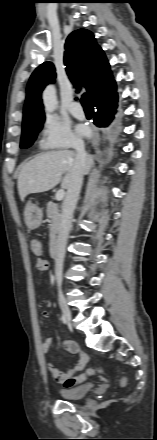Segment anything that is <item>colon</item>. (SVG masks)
<instances>
[{
	"label": "colon",
	"instance_id": "colon-1",
	"mask_svg": "<svg viewBox=\"0 0 157 440\" xmlns=\"http://www.w3.org/2000/svg\"><path fill=\"white\" fill-rule=\"evenodd\" d=\"M30 248H31L32 253L37 256L36 268L40 271L45 270L48 265V262L43 257V248H42L41 242L37 239H32L30 242ZM98 372H99V370L97 368L87 369L85 372L79 374L78 376L71 377L68 380H66V382L64 383V386L66 388L75 387V386L79 385L80 383L84 382L88 377L95 375ZM125 382H126L125 379H122L121 385H124Z\"/></svg>",
	"mask_w": 157,
	"mask_h": 440
}]
</instances>
